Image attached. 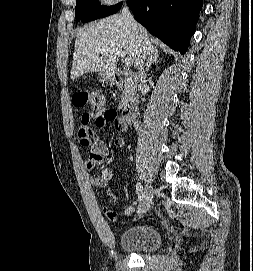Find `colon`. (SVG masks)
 Listing matches in <instances>:
<instances>
[{
  "label": "colon",
  "instance_id": "colon-1",
  "mask_svg": "<svg viewBox=\"0 0 253 271\" xmlns=\"http://www.w3.org/2000/svg\"><path fill=\"white\" fill-rule=\"evenodd\" d=\"M72 102L80 107L90 105L91 111L89 113L94 115L103 114L107 121L114 122L117 120V114L114 110L104 109L105 99L99 92L77 91L72 97Z\"/></svg>",
  "mask_w": 253,
  "mask_h": 271
}]
</instances>
